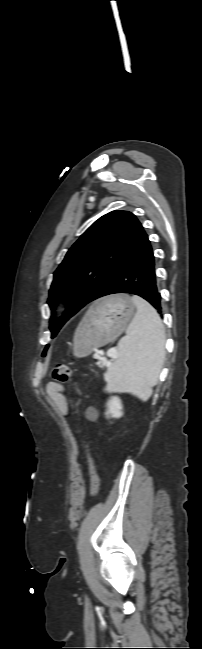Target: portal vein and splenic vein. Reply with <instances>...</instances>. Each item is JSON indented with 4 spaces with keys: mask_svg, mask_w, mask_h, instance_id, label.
Masks as SVG:
<instances>
[{
    "mask_svg": "<svg viewBox=\"0 0 202 649\" xmlns=\"http://www.w3.org/2000/svg\"><path fill=\"white\" fill-rule=\"evenodd\" d=\"M108 356L114 358V357H115V353H114L113 351H109V352H108ZM96 358H97L98 360H102V361H105V360H106L105 357H101L100 355H96Z\"/></svg>",
    "mask_w": 202,
    "mask_h": 649,
    "instance_id": "obj_1",
    "label": "portal vein and splenic vein"
}]
</instances>
